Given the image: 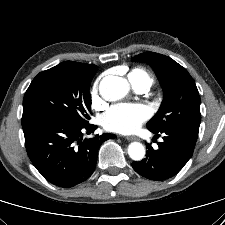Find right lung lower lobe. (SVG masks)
<instances>
[{
    "label": "right lung lower lobe",
    "instance_id": "1",
    "mask_svg": "<svg viewBox=\"0 0 225 225\" xmlns=\"http://www.w3.org/2000/svg\"><path fill=\"white\" fill-rule=\"evenodd\" d=\"M28 156L36 169L50 183L73 187L94 172L100 145L116 136L97 135L82 140L83 133H93L97 126L75 125L59 117L34 113L22 116Z\"/></svg>",
    "mask_w": 225,
    "mask_h": 225
}]
</instances>
